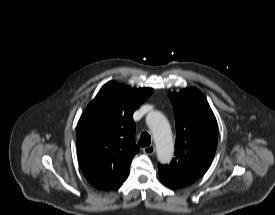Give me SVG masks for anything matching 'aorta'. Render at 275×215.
<instances>
[{
	"mask_svg": "<svg viewBox=\"0 0 275 215\" xmlns=\"http://www.w3.org/2000/svg\"><path fill=\"white\" fill-rule=\"evenodd\" d=\"M146 122L154 138L159 162L170 163L173 157L174 143L167 119L162 113L152 111L148 113Z\"/></svg>",
	"mask_w": 275,
	"mask_h": 215,
	"instance_id": "762f6f07",
	"label": "aorta"
}]
</instances>
